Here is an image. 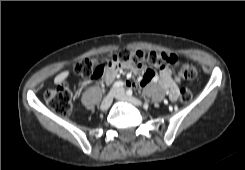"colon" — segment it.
<instances>
[{
	"mask_svg": "<svg viewBox=\"0 0 245 170\" xmlns=\"http://www.w3.org/2000/svg\"><path fill=\"white\" fill-rule=\"evenodd\" d=\"M177 56L173 53H158L142 50L125 49L119 53L98 60L96 58H85L76 65V72L80 77V82L74 89L66 83H61L45 92L46 104L60 115H69L73 110L74 99L80 90L86 88L89 81L99 78L109 67H122L125 69H137L152 67L160 69L168 64H175ZM179 74L183 79L192 80L196 76V68L189 62H183L179 69ZM179 100L183 104H189L192 94L188 89L180 91Z\"/></svg>",
	"mask_w": 245,
	"mask_h": 170,
	"instance_id": "5ec220e1",
	"label": "colon"
}]
</instances>
